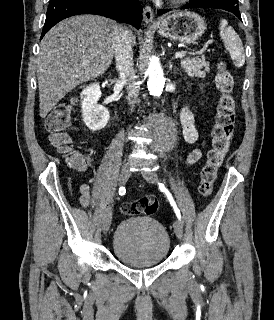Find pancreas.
Returning a JSON list of instances; mask_svg holds the SVG:
<instances>
[{
    "label": "pancreas",
    "instance_id": "cf45deb5",
    "mask_svg": "<svg viewBox=\"0 0 274 320\" xmlns=\"http://www.w3.org/2000/svg\"><path fill=\"white\" fill-rule=\"evenodd\" d=\"M181 68L187 72L188 76L195 78H205L209 72V62H206L204 54H198L195 58H181Z\"/></svg>",
    "mask_w": 274,
    "mask_h": 320
}]
</instances>
